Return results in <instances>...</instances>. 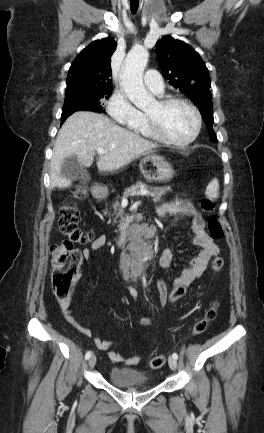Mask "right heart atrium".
I'll use <instances>...</instances> for the list:
<instances>
[{"mask_svg":"<svg viewBox=\"0 0 264 433\" xmlns=\"http://www.w3.org/2000/svg\"><path fill=\"white\" fill-rule=\"evenodd\" d=\"M109 116L122 125L133 126L141 119V112L136 109L128 97L120 91H115L106 102Z\"/></svg>","mask_w":264,"mask_h":433,"instance_id":"right-heart-atrium-1","label":"right heart atrium"}]
</instances>
